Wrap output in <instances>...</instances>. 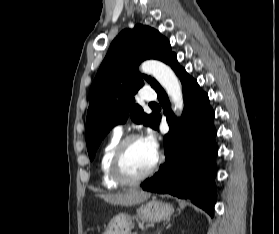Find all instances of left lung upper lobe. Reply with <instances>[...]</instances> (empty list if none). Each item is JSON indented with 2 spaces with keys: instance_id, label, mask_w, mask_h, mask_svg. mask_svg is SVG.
<instances>
[{
  "instance_id": "obj_1",
  "label": "left lung upper lobe",
  "mask_w": 279,
  "mask_h": 234,
  "mask_svg": "<svg viewBox=\"0 0 279 234\" xmlns=\"http://www.w3.org/2000/svg\"><path fill=\"white\" fill-rule=\"evenodd\" d=\"M173 55L169 41L148 26L125 29L113 40L90 88L85 131L90 160L105 135L115 125L124 123L129 115L135 123L156 129L159 115L145 114L134 104V95L145 81L154 89L159 83L141 74L138 66L146 59L167 64Z\"/></svg>"
}]
</instances>
